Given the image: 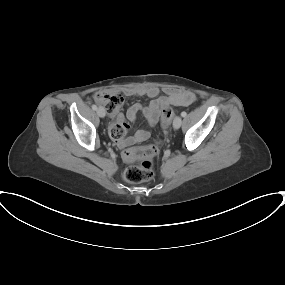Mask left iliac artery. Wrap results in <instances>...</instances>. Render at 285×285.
<instances>
[{"instance_id":"1","label":"left iliac artery","mask_w":285,"mask_h":285,"mask_svg":"<svg viewBox=\"0 0 285 285\" xmlns=\"http://www.w3.org/2000/svg\"><path fill=\"white\" fill-rule=\"evenodd\" d=\"M181 116H182V117H186V116H187V113L183 111V112L181 113Z\"/></svg>"}]
</instances>
